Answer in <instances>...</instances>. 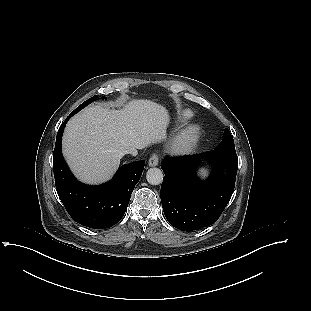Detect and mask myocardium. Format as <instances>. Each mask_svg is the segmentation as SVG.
<instances>
[{
  "mask_svg": "<svg viewBox=\"0 0 311 311\" xmlns=\"http://www.w3.org/2000/svg\"><path fill=\"white\" fill-rule=\"evenodd\" d=\"M201 135V127L198 124H190L172 138L169 151L173 155H185L190 153L197 145Z\"/></svg>",
  "mask_w": 311,
  "mask_h": 311,
  "instance_id": "1",
  "label": "myocardium"
}]
</instances>
